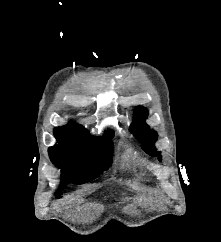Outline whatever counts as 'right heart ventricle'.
I'll return each mask as SVG.
<instances>
[{
	"mask_svg": "<svg viewBox=\"0 0 221 242\" xmlns=\"http://www.w3.org/2000/svg\"><path fill=\"white\" fill-rule=\"evenodd\" d=\"M121 166L124 170L135 173L138 170L137 163L133 160L130 152H125L122 156Z\"/></svg>",
	"mask_w": 221,
	"mask_h": 242,
	"instance_id": "right-heart-ventricle-1",
	"label": "right heart ventricle"
}]
</instances>
